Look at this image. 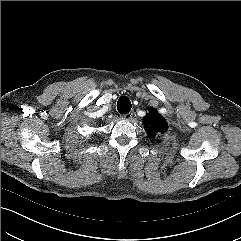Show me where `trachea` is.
<instances>
[{
	"instance_id": "trachea-1",
	"label": "trachea",
	"mask_w": 241,
	"mask_h": 241,
	"mask_svg": "<svg viewBox=\"0 0 241 241\" xmlns=\"http://www.w3.org/2000/svg\"><path fill=\"white\" fill-rule=\"evenodd\" d=\"M131 102L129 100V98L127 97H121L119 98L118 102H117V110L120 114H127L130 112L131 110Z\"/></svg>"
}]
</instances>
